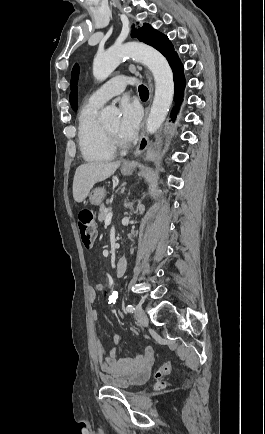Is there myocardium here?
<instances>
[{
    "label": "myocardium",
    "mask_w": 265,
    "mask_h": 434,
    "mask_svg": "<svg viewBox=\"0 0 265 434\" xmlns=\"http://www.w3.org/2000/svg\"><path fill=\"white\" fill-rule=\"evenodd\" d=\"M106 130L111 138V141L114 145L120 146V147H125L126 145L119 139L118 135L113 132L112 130H110L107 126H106Z\"/></svg>",
    "instance_id": "f54148a6"
}]
</instances>
